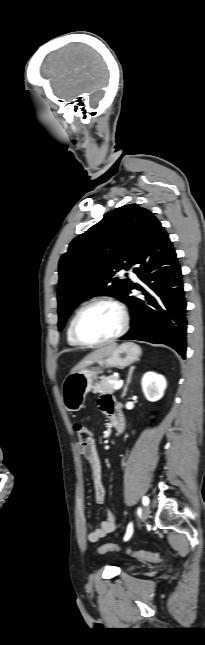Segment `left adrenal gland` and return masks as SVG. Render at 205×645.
I'll list each match as a JSON object with an SVG mask.
<instances>
[{
	"label": "left adrenal gland",
	"instance_id": "a2214340",
	"mask_svg": "<svg viewBox=\"0 0 205 645\" xmlns=\"http://www.w3.org/2000/svg\"><path fill=\"white\" fill-rule=\"evenodd\" d=\"M134 369H135V367H131V368H130V370H129V374H128V378H127V383H126V385H125V387H124V390H123V393H122V396H121V397H125V396H126V393H127V390H128V386H129V384H130V382H131V377H132V374H133Z\"/></svg>",
	"mask_w": 205,
	"mask_h": 645
}]
</instances>
